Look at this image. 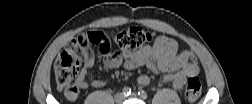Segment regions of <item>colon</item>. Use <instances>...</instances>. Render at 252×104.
<instances>
[{
	"label": "colon",
	"mask_w": 252,
	"mask_h": 104,
	"mask_svg": "<svg viewBox=\"0 0 252 104\" xmlns=\"http://www.w3.org/2000/svg\"><path fill=\"white\" fill-rule=\"evenodd\" d=\"M113 43L122 50H136L151 39V34L140 26H129L115 32ZM106 57L112 49V41L101 31H90L69 42L58 55L54 64L56 85L66 97L76 98L81 90L82 62L94 57V50ZM201 93V82L197 77L188 78L185 96L196 102Z\"/></svg>",
	"instance_id": "colon-1"
}]
</instances>
